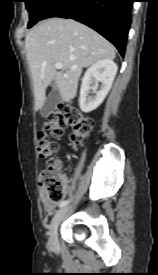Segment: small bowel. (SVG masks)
<instances>
[{
  "label": "small bowel",
  "mask_w": 158,
  "mask_h": 275,
  "mask_svg": "<svg viewBox=\"0 0 158 275\" xmlns=\"http://www.w3.org/2000/svg\"><path fill=\"white\" fill-rule=\"evenodd\" d=\"M41 202L43 209L47 213H51L57 204L56 202L49 200L43 191H41Z\"/></svg>",
  "instance_id": "1"
}]
</instances>
